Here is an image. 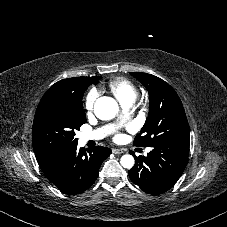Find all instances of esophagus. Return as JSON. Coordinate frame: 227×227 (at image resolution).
<instances>
[{
	"label": "esophagus",
	"instance_id": "obj_1",
	"mask_svg": "<svg viewBox=\"0 0 227 227\" xmlns=\"http://www.w3.org/2000/svg\"><path fill=\"white\" fill-rule=\"evenodd\" d=\"M112 152H113L114 154H122V153H123V150H122V149H118V148H113V149H112Z\"/></svg>",
	"mask_w": 227,
	"mask_h": 227
}]
</instances>
